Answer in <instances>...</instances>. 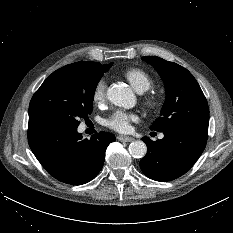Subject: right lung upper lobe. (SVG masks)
Wrapping results in <instances>:
<instances>
[{
  "instance_id": "right-lung-upper-lobe-1",
  "label": "right lung upper lobe",
  "mask_w": 233,
  "mask_h": 233,
  "mask_svg": "<svg viewBox=\"0 0 233 233\" xmlns=\"http://www.w3.org/2000/svg\"><path fill=\"white\" fill-rule=\"evenodd\" d=\"M73 64L100 65L102 67L110 68L113 63L107 64V65H101L100 63H97V62L80 61V62H76V63H73Z\"/></svg>"
}]
</instances>
